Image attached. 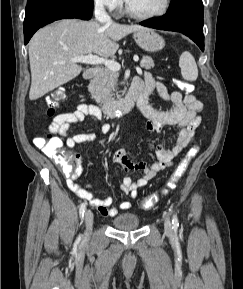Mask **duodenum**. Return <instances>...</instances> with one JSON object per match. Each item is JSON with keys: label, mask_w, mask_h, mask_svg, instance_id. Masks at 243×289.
<instances>
[{"label": "duodenum", "mask_w": 243, "mask_h": 289, "mask_svg": "<svg viewBox=\"0 0 243 289\" xmlns=\"http://www.w3.org/2000/svg\"><path fill=\"white\" fill-rule=\"evenodd\" d=\"M98 72L99 70L97 67H90L85 70L83 77L90 81L97 76ZM89 97L93 98L90 94ZM146 98L147 93L142 88L131 87L124 98L119 100H104L100 105L106 116L115 117L122 113L130 112L135 108L140 111Z\"/></svg>", "instance_id": "duodenum-1"}]
</instances>
